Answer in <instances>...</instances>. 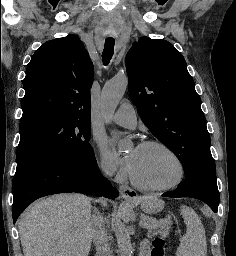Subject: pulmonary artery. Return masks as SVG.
Masks as SVG:
<instances>
[{"instance_id":"e3ab8cb5","label":"pulmonary artery","mask_w":236,"mask_h":256,"mask_svg":"<svg viewBox=\"0 0 236 256\" xmlns=\"http://www.w3.org/2000/svg\"><path fill=\"white\" fill-rule=\"evenodd\" d=\"M122 105L117 112H115L112 115V120L116 124L127 127V128H133L136 125L137 122V115L136 111L130 107L128 101H123Z\"/></svg>"}]
</instances>
